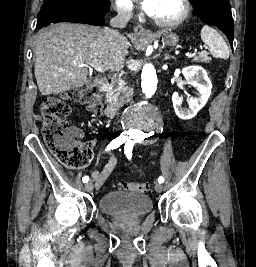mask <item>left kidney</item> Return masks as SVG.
<instances>
[{"label": "left kidney", "mask_w": 256, "mask_h": 267, "mask_svg": "<svg viewBox=\"0 0 256 267\" xmlns=\"http://www.w3.org/2000/svg\"><path fill=\"white\" fill-rule=\"evenodd\" d=\"M182 74L187 84L196 88V98H190L189 110H183L182 100L178 92H174L172 96L173 108L178 118L191 120L205 106L211 94L212 84L206 70L201 66H186V68H182Z\"/></svg>", "instance_id": "obj_1"}]
</instances>
